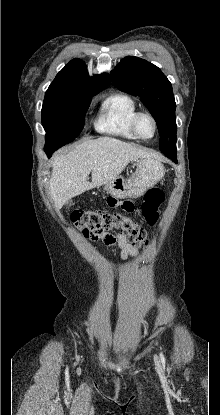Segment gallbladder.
Listing matches in <instances>:
<instances>
[{"label": "gallbladder", "instance_id": "bac80fb5", "mask_svg": "<svg viewBox=\"0 0 220 415\" xmlns=\"http://www.w3.org/2000/svg\"><path fill=\"white\" fill-rule=\"evenodd\" d=\"M71 204H72V200L68 201V202L66 203V206H71Z\"/></svg>", "mask_w": 220, "mask_h": 415}]
</instances>
